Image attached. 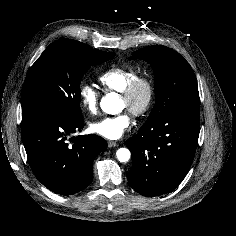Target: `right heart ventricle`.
<instances>
[{
	"mask_svg": "<svg viewBox=\"0 0 236 236\" xmlns=\"http://www.w3.org/2000/svg\"><path fill=\"white\" fill-rule=\"evenodd\" d=\"M138 76V70L130 66H115L101 73L98 80L106 91L122 92Z\"/></svg>",
	"mask_w": 236,
	"mask_h": 236,
	"instance_id": "1",
	"label": "right heart ventricle"
}]
</instances>
